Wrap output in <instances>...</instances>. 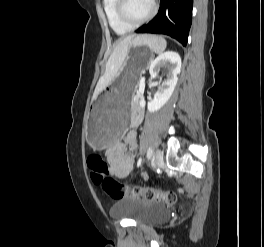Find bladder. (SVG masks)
Returning a JSON list of instances; mask_svg holds the SVG:
<instances>
[{"label":"bladder","instance_id":"bladder-1","mask_svg":"<svg viewBox=\"0 0 264 247\" xmlns=\"http://www.w3.org/2000/svg\"><path fill=\"white\" fill-rule=\"evenodd\" d=\"M110 214L113 218L131 219L142 224L160 222L167 216L166 210L158 203L129 198L115 202Z\"/></svg>","mask_w":264,"mask_h":247}]
</instances>
